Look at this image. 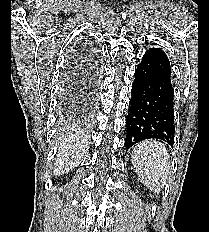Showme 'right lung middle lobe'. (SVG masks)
<instances>
[{
	"instance_id": "obj_1",
	"label": "right lung middle lobe",
	"mask_w": 209,
	"mask_h": 232,
	"mask_svg": "<svg viewBox=\"0 0 209 232\" xmlns=\"http://www.w3.org/2000/svg\"><path fill=\"white\" fill-rule=\"evenodd\" d=\"M72 82H74L73 75L69 76L60 96V127L62 129L81 125L85 116L78 105L79 97L73 93Z\"/></svg>"
}]
</instances>
